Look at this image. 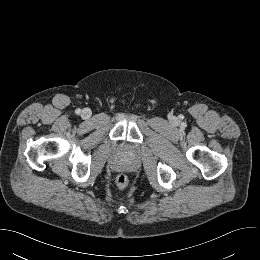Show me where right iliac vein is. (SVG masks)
<instances>
[{
    "instance_id": "right-iliac-vein-1",
    "label": "right iliac vein",
    "mask_w": 260,
    "mask_h": 260,
    "mask_svg": "<svg viewBox=\"0 0 260 260\" xmlns=\"http://www.w3.org/2000/svg\"><path fill=\"white\" fill-rule=\"evenodd\" d=\"M90 116H91V111H90V109L85 108V109L82 110V112H81V117H82L83 119H88V118H90Z\"/></svg>"
}]
</instances>
